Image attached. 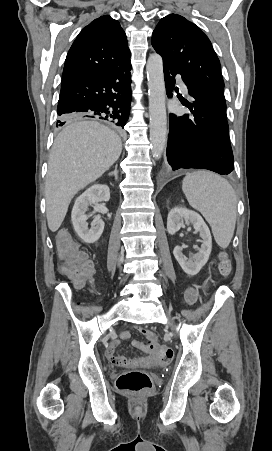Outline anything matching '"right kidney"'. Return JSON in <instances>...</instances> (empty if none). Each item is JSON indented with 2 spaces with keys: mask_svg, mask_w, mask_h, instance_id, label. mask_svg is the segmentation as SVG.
I'll return each mask as SVG.
<instances>
[{
  "mask_svg": "<svg viewBox=\"0 0 272 451\" xmlns=\"http://www.w3.org/2000/svg\"><path fill=\"white\" fill-rule=\"evenodd\" d=\"M110 200V190L108 186H101V184H95L88 188L86 192H83L73 206L71 220L73 227L78 233L79 237H82L83 241L86 243H94L99 239L103 229L104 222L100 220L99 216H95L91 227H88V218L85 212L88 210V206L94 204L95 208L98 206V202H109ZM96 212V210H94ZM93 212V214H94Z\"/></svg>",
  "mask_w": 272,
  "mask_h": 451,
  "instance_id": "right-kidney-1",
  "label": "right kidney"
}]
</instances>
